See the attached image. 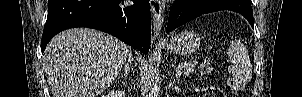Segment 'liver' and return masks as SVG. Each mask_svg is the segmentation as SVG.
<instances>
[{"instance_id": "liver-1", "label": "liver", "mask_w": 302, "mask_h": 97, "mask_svg": "<svg viewBox=\"0 0 302 97\" xmlns=\"http://www.w3.org/2000/svg\"><path fill=\"white\" fill-rule=\"evenodd\" d=\"M128 53L125 43L94 29L59 33L42 57L53 97H97L117 77Z\"/></svg>"}]
</instances>
